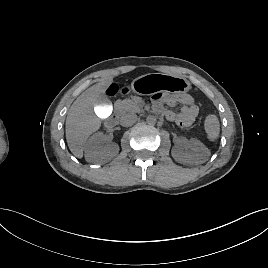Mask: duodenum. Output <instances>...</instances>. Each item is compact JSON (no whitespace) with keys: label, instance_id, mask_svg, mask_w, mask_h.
<instances>
[{"label":"duodenum","instance_id":"410a0bca","mask_svg":"<svg viewBox=\"0 0 268 268\" xmlns=\"http://www.w3.org/2000/svg\"><path fill=\"white\" fill-rule=\"evenodd\" d=\"M118 114L117 113H114V114H112L108 119H107V125L109 126V127H112V126H114L116 123H117V121H118Z\"/></svg>","mask_w":268,"mask_h":268}]
</instances>
